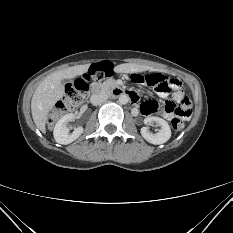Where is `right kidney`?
<instances>
[{
  "label": "right kidney",
  "mask_w": 233,
  "mask_h": 233,
  "mask_svg": "<svg viewBox=\"0 0 233 233\" xmlns=\"http://www.w3.org/2000/svg\"><path fill=\"white\" fill-rule=\"evenodd\" d=\"M74 114L69 113L64 115L54 127V139L59 144H70L75 141L82 133L83 128L77 127L72 133H70L71 126H69V121L74 118Z\"/></svg>",
  "instance_id": "ca27d5eb"
}]
</instances>
